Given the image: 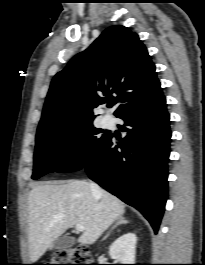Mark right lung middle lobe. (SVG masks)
Returning a JSON list of instances; mask_svg holds the SVG:
<instances>
[{"mask_svg":"<svg viewBox=\"0 0 205 265\" xmlns=\"http://www.w3.org/2000/svg\"><path fill=\"white\" fill-rule=\"evenodd\" d=\"M93 120L68 122L37 131L32 179L50 172L84 168L109 138Z\"/></svg>","mask_w":205,"mask_h":265,"instance_id":"1","label":"right lung middle lobe"}]
</instances>
